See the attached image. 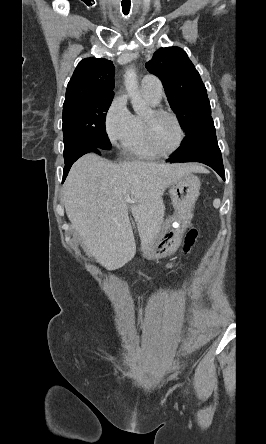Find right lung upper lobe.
I'll return each instance as SVG.
<instances>
[{
  "label": "right lung upper lobe",
  "instance_id": "1",
  "mask_svg": "<svg viewBox=\"0 0 266 444\" xmlns=\"http://www.w3.org/2000/svg\"><path fill=\"white\" fill-rule=\"evenodd\" d=\"M115 67L104 58H86L77 65L66 90L64 103L113 94Z\"/></svg>",
  "mask_w": 266,
  "mask_h": 444
}]
</instances>
